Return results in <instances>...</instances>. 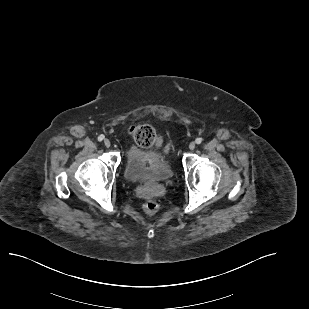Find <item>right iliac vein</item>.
I'll return each instance as SVG.
<instances>
[{
	"mask_svg": "<svg viewBox=\"0 0 309 309\" xmlns=\"http://www.w3.org/2000/svg\"><path fill=\"white\" fill-rule=\"evenodd\" d=\"M104 145H105L106 147H110V145H111L110 140H109V139H104Z\"/></svg>",
	"mask_w": 309,
	"mask_h": 309,
	"instance_id": "63e3f726",
	"label": "right iliac vein"
}]
</instances>
